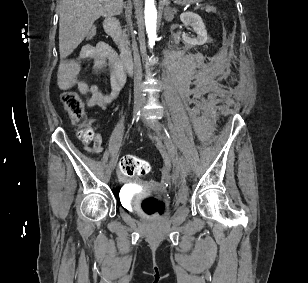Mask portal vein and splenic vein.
Wrapping results in <instances>:
<instances>
[{
  "label": "portal vein and splenic vein",
  "instance_id": "18ae733b",
  "mask_svg": "<svg viewBox=\"0 0 308 283\" xmlns=\"http://www.w3.org/2000/svg\"><path fill=\"white\" fill-rule=\"evenodd\" d=\"M201 7V5H197L196 7H195V9L197 10V9H199Z\"/></svg>",
  "mask_w": 308,
  "mask_h": 283
}]
</instances>
